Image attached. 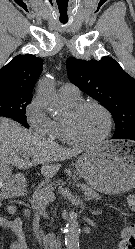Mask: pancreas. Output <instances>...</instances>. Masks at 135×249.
I'll return each instance as SVG.
<instances>
[{
	"mask_svg": "<svg viewBox=\"0 0 135 249\" xmlns=\"http://www.w3.org/2000/svg\"><path fill=\"white\" fill-rule=\"evenodd\" d=\"M54 186L52 184H46L43 188L37 189L32 197V210L39 211L40 213L45 211L46 205L50 202L49 194L53 193ZM85 194L89 200L100 199L99 194H97L92 188H85ZM29 213V211H25Z\"/></svg>",
	"mask_w": 135,
	"mask_h": 249,
	"instance_id": "1",
	"label": "pancreas"
}]
</instances>
